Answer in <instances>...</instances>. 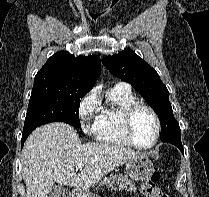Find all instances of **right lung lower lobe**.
<instances>
[{
    "label": "right lung lower lobe",
    "mask_w": 209,
    "mask_h": 197,
    "mask_svg": "<svg viewBox=\"0 0 209 197\" xmlns=\"http://www.w3.org/2000/svg\"><path fill=\"white\" fill-rule=\"evenodd\" d=\"M34 129H35V128H33V129H28V130L23 131V133H22V140H21V145H22V147H23V144H24L25 140L27 139V137L29 136V134H30Z\"/></svg>",
    "instance_id": "98d812e1"
}]
</instances>
